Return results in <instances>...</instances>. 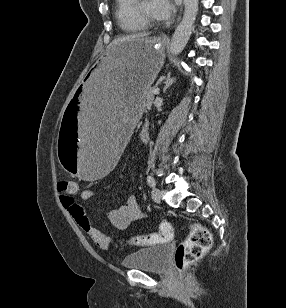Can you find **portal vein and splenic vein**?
<instances>
[{
  "label": "portal vein and splenic vein",
  "instance_id": "obj_1",
  "mask_svg": "<svg viewBox=\"0 0 286 308\" xmlns=\"http://www.w3.org/2000/svg\"><path fill=\"white\" fill-rule=\"evenodd\" d=\"M160 89L158 87L153 89V94H159Z\"/></svg>",
  "mask_w": 286,
  "mask_h": 308
}]
</instances>
